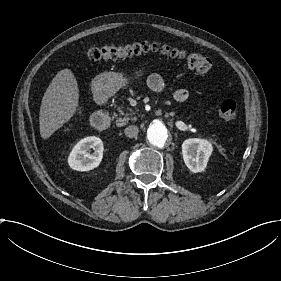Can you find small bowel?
I'll list each match as a JSON object with an SVG mask.
<instances>
[{
  "label": "small bowel",
  "instance_id": "c3829d8e",
  "mask_svg": "<svg viewBox=\"0 0 281 281\" xmlns=\"http://www.w3.org/2000/svg\"><path fill=\"white\" fill-rule=\"evenodd\" d=\"M148 86L154 92L160 93L165 89V82L160 75L152 73L147 79ZM189 91L186 88H179L171 93V97L176 102H184L189 98Z\"/></svg>",
  "mask_w": 281,
  "mask_h": 281
}]
</instances>
